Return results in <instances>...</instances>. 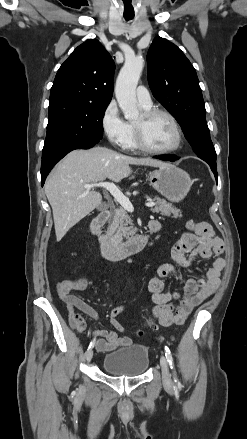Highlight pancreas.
Returning a JSON list of instances; mask_svg holds the SVG:
<instances>
[{
    "label": "pancreas",
    "mask_w": 247,
    "mask_h": 439,
    "mask_svg": "<svg viewBox=\"0 0 247 439\" xmlns=\"http://www.w3.org/2000/svg\"><path fill=\"white\" fill-rule=\"evenodd\" d=\"M154 201H156V207L151 209L152 212L168 217L172 216L173 218L182 217V212L164 199L155 197ZM136 231L137 229L133 227V222L128 212L124 208L116 209L108 230V235L112 237V240L121 242L123 238H129Z\"/></svg>",
    "instance_id": "obj_1"
}]
</instances>
